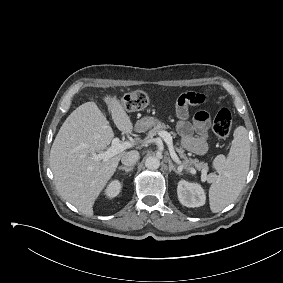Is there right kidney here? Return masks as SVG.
<instances>
[{
  "instance_id": "right-kidney-1",
  "label": "right kidney",
  "mask_w": 283,
  "mask_h": 283,
  "mask_svg": "<svg viewBox=\"0 0 283 283\" xmlns=\"http://www.w3.org/2000/svg\"><path fill=\"white\" fill-rule=\"evenodd\" d=\"M120 190H121L120 182L118 180H114L108 185L105 194L108 198H114L119 194Z\"/></svg>"
}]
</instances>
